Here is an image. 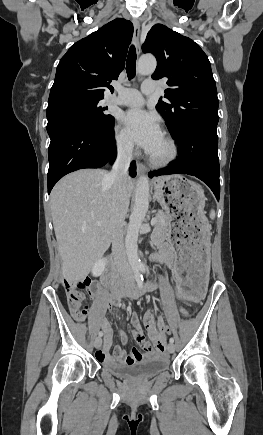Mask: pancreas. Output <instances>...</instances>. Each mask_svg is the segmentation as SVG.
I'll list each match as a JSON object with an SVG mask.
<instances>
[{
  "label": "pancreas",
  "mask_w": 263,
  "mask_h": 435,
  "mask_svg": "<svg viewBox=\"0 0 263 435\" xmlns=\"http://www.w3.org/2000/svg\"><path fill=\"white\" fill-rule=\"evenodd\" d=\"M172 215L161 212L157 216V222L155 224L153 233L151 235L154 244L158 245L169 234L171 229Z\"/></svg>",
  "instance_id": "1"
}]
</instances>
